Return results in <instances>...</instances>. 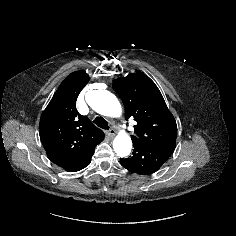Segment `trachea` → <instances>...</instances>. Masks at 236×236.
<instances>
[{
    "label": "trachea",
    "mask_w": 236,
    "mask_h": 236,
    "mask_svg": "<svg viewBox=\"0 0 236 236\" xmlns=\"http://www.w3.org/2000/svg\"><path fill=\"white\" fill-rule=\"evenodd\" d=\"M94 123L101 129H105V130H108L109 129V125H108V122L100 117V116H97L95 119H94Z\"/></svg>",
    "instance_id": "3493384b"
}]
</instances>
